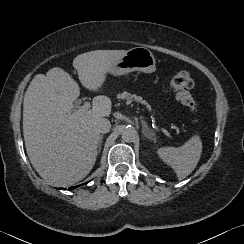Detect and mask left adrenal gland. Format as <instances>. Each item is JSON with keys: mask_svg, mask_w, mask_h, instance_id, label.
Listing matches in <instances>:
<instances>
[{"mask_svg": "<svg viewBox=\"0 0 244 244\" xmlns=\"http://www.w3.org/2000/svg\"><path fill=\"white\" fill-rule=\"evenodd\" d=\"M141 123H142V134L144 135V137L155 141V133L151 129H149L147 123L143 119H141Z\"/></svg>", "mask_w": 244, "mask_h": 244, "instance_id": "left-adrenal-gland-1", "label": "left adrenal gland"}]
</instances>
